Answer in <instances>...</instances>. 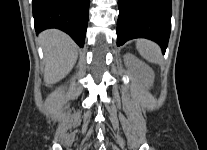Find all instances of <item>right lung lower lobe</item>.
Returning <instances> with one entry per match:
<instances>
[{
  "mask_svg": "<svg viewBox=\"0 0 207 150\" xmlns=\"http://www.w3.org/2000/svg\"><path fill=\"white\" fill-rule=\"evenodd\" d=\"M89 0H33L36 33L60 29L83 47L88 23Z\"/></svg>",
  "mask_w": 207,
  "mask_h": 150,
  "instance_id": "right-lung-lower-lobe-1",
  "label": "right lung lower lobe"
}]
</instances>
